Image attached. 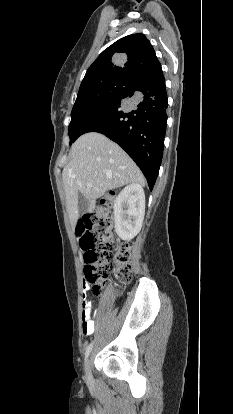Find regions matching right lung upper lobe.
Wrapping results in <instances>:
<instances>
[{"label": "right lung upper lobe", "instance_id": "1", "mask_svg": "<svg viewBox=\"0 0 233 414\" xmlns=\"http://www.w3.org/2000/svg\"><path fill=\"white\" fill-rule=\"evenodd\" d=\"M162 71L155 51L144 34L123 37L105 49L86 72L83 87L102 78L142 80Z\"/></svg>", "mask_w": 233, "mask_h": 414}]
</instances>
